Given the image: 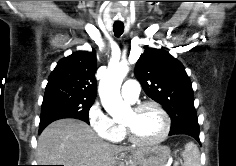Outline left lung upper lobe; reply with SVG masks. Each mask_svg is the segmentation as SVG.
I'll return each mask as SVG.
<instances>
[{"mask_svg": "<svg viewBox=\"0 0 236 166\" xmlns=\"http://www.w3.org/2000/svg\"><path fill=\"white\" fill-rule=\"evenodd\" d=\"M135 73L145 93L168 113L171 125L196 117L190 79L184 66L168 52L146 47Z\"/></svg>", "mask_w": 236, "mask_h": 166, "instance_id": "5c2ea615", "label": "left lung upper lobe"}]
</instances>
